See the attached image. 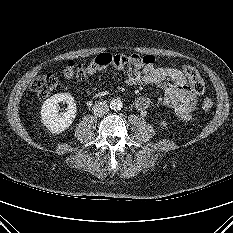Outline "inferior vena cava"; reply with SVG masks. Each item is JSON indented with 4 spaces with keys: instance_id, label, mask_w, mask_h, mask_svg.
Instances as JSON below:
<instances>
[{
    "instance_id": "inferior-vena-cava-1",
    "label": "inferior vena cava",
    "mask_w": 233,
    "mask_h": 233,
    "mask_svg": "<svg viewBox=\"0 0 233 233\" xmlns=\"http://www.w3.org/2000/svg\"><path fill=\"white\" fill-rule=\"evenodd\" d=\"M93 112L97 116H102L104 114H107L109 111V106L107 105L106 102H97L93 105L92 108Z\"/></svg>"
}]
</instances>
